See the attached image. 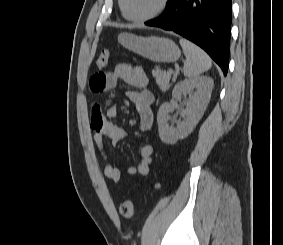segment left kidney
Returning a JSON list of instances; mask_svg holds the SVG:
<instances>
[{"mask_svg":"<svg viewBox=\"0 0 283 245\" xmlns=\"http://www.w3.org/2000/svg\"><path fill=\"white\" fill-rule=\"evenodd\" d=\"M214 81L207 76L186 79L179 82L172 91V100L160 106L157 123L159 137L166 144H175L179 139L187 137L198 124L210 101ZM194 89L196 90L195 92ZM189 95V102L183 112V121L176 120V127L170 126V113L177 108V99L181 95Z\"/></svg>","mask_w":283,"mask_h":245,"instance_id":"left-kidney-1","label":"left kidney"}]
</instances>
